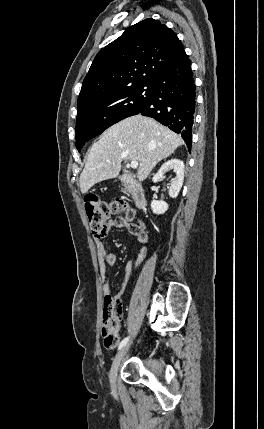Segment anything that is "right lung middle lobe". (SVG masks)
I'll list each match as a JSON object with an SVG mask.
<instances>
[{
  "mask_svg": "<svg viewBox=\"0 0 264 429\" xmlns=\"http://www.w3.org/2000/svg\"><path fill=\"white\" fill-rule=\"evenodd\" d=\"M152 84H137L77 106L76 147L101 134L111 125L138 114L152 95Z\"/></svg>",
  "mask_w": 264,
  "mask_h": 429,
  "instance_id": "obj_1",
  "label": "right lung middle lobe"
}]
</instances>
